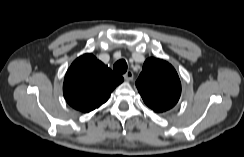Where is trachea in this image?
I'll use <instances>...</instances> for the list:
<instances>
[{
  "mask_svg": "<svg viewBox=\"0 0 244 157\" xmlns=\"http://www.w3.org/2000/svg\"><path fill=\"white\" fill-rule=\"evenodd\" d=\"M113 70L116 72V73H119V74H124L126 71H127V63L124 59H120L118 60L114 66H113Z\"/></svg>",
  "mask_w": 244,
  "mask_h": 157,
  "instance_id": "3493384b",
  "label": "trachea"
}]
</instances>
